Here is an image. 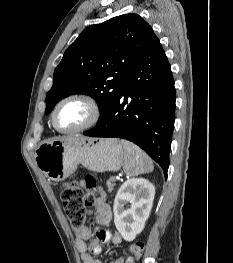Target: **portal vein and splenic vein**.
I'll return each mask as SVG.
<instances>
[{
	"instance_id": "portal-vein-and-splenic-vein-1",
	"label": "portal vein and splenic vein",
	"mask_w": 233,
	"mask_h": 263,
	"mask_svg": "<svg viewBox=\"0 0 233 263\" xmlns=\"http://www.w3.org/2000/svg\"><path fill=\"white\" fill-rule=\"evenodd\" d=\"M111 180L115 181V180H116V177H111Z\"/></svg>"
}]
</instances>
